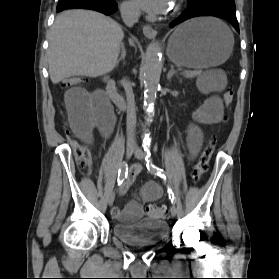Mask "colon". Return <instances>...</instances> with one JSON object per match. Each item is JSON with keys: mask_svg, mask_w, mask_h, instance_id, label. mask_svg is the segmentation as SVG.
I'll return each instance as SVG.
<instances>
[{"mask_svg": "<svg viewBox=\"0 0 279 279\" xmlns=\"http://www.w3.org/2000/svg\"><path fill=\"white\" fill-rule=\"evenodd\" d=\"M87 82V79L83 76H73L63 79L60 82L62 88H72ZM234 99V91L232 88H228L224 93V103L226 105L231 104ZM226 121V117L223 118V122ZM216 145L215 136H211L204 145L200 155L198 156L193 168L192 177L195 182H198L202 176L207 172L210 159L213 155ZM76 163L80 168H90L93 163V155L90 149L84 145L76 144L73 148ZM147 214L155 219H163L167 217L168 211L166 208L157 205H149L146 208Z\"/></svg>", "mask_w": 279, "mask_h": 279, "instance_id": "5ec220e1", "label": "colon"}]
</instances>
